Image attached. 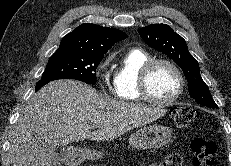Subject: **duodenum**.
<instances>
[{"instance_id":"1","label":"duodenum","mask_w":231,"mask_h":166,"mask_svg":"<svg viewBox=\"0 0 231 166\" xmlns=\"http://www.w3.org/2000/svg\"><path fill=\"white\" fill-rule=\"evenodd\" d=\"M63 158L66 161L73 160L75 158V154L73 152H71V151H66L63 154Z\"/></svg>"}]
</instances>
